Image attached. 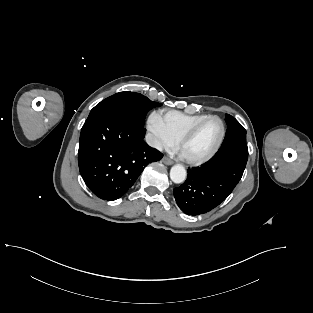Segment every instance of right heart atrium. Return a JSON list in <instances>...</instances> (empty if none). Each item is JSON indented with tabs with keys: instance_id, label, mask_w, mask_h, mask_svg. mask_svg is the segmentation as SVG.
<instances>
[{
	"instance_id": "1",
	"label": "right heart atrium",
	"mask_w": 313,
	"mask_h": 313,
	"mask_svg": "<svg viewBox=\"0 0 313 313\" xmlns=\"http://www.w3.org/2000/svg\"><path fill=\"white\" fill-rule=\"evenodd\" d=\"M148 130L151 135V145L158 150H168L174 147L175 142L163 129L158 115L152 114L148 120Z\"/></svg>"
}]
</instances>
